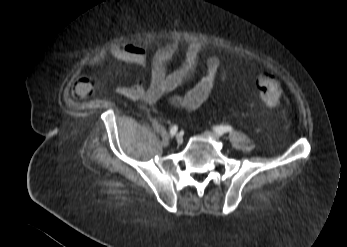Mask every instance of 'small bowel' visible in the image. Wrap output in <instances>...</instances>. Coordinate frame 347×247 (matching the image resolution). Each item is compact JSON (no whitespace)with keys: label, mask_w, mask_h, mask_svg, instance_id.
Masks as SVG:
<instances>
[{"label":"small bowel","mask_w":347,"mask_h":247,"mask_svg":"<svg viewBox=\"0 0 347 247\" xmlns=\"http://www.w3.org/2000/svg\"><path fill=\"white\" fill-rule=\"evenodd\" d=\"M178 49L179 44L177 41H170L162 45L155 51L151 59L148 85L138 79L130 85H119L116 88L117 94L132 101H143L148 105H156L162 98L171 94L193 76L202 45L199 42L190 43L185 50L181 64L176 69L168 71L167 66L178 52ZM112 55L124 64H132L141 68L147 65L146 50L139 45L126 44L118 46L113 50ZM103 61L104 56L98 55L89 61V65L98 66ZM263 74L272 73L266 72ZM226 77L227 72L222 67L219 57L212 55L207 59L205 74L195 85L182 95L170 96L168 103L176 110H196L209 98L216 82L218 80L223 81ZM96 84H99V82L84 78L75 85V90L79 95L84 96Z\"/></svg>","instance_id":"obj_1"}]
</instances>
